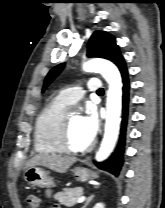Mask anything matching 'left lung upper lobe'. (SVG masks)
Segmentation results:
<instances>
[{
  "mask_svg": "<svg viewBox=\"0 0 165 208\" xmlns=\"http://www.w3.org/2000/svg\"><path fill=\"white\" fill-rule=\"evenodd\" d=\"M88 57L105 58L117 64L123 57L116 45L115 38L105 31H95L87 44ZM64 68V64H59L52 68L45 78L43 90L59 75Z\"/></svg>",
  "mask_w": 165,
  "mask_h": 208,
  "instance_id": "obj_1",
  "label": "left lung upper lobe"
}]
</instances>
